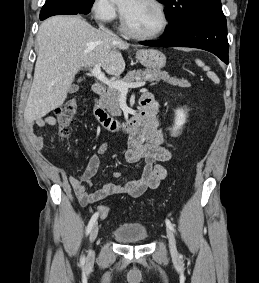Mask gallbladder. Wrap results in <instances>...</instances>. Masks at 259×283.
I'll use <instances>...</instances> for the list:
<instances>
[{
    "label": "gallbladder",
    "instance_id": "gallbladder-1",
    "mask_svg": "<svg viewBox=\"0 0 259 283\" xmlns=\"http://www.w3.org/2000/svg\"><path fill=\"white\" fill-rule=\"evenodd\" d=\"M78 89H79V86L77 84H73L69 89V93H75L78 91Z\"/></svg>",
    "mask_w": 259,
    "mask_h": 283
}]
</instances>
